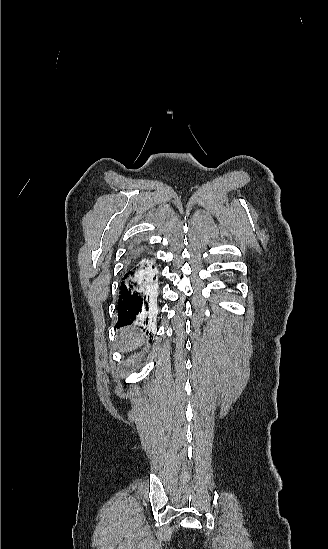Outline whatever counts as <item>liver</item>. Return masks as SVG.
Listing matches in <instances>:
<instances>
[{
	"label": "liver",
	"mask_w": 328,
	"mask_h": 549,
	"mask_svg": "<svg viewBox=\"0 0 328 549\" xmlns=\"http://www.w3.org/2000/svg\"><path fill=\"white\" fill-rule=\"evenodd\" d=\"M118 339L122 353H129V351H133V349H138V347H142V343H144L143 335H139L134 327H124V329H120Z\"/></svg>",
	"instance_id": "6515ba94"
}]
</instances>
